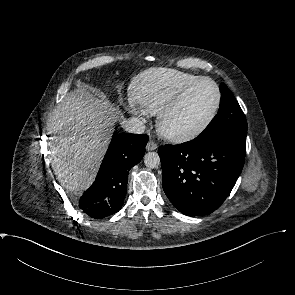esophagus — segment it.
<instances>
[{"mask_svg":"<svg viewBox=\"0 0 295 295\" xmlns=\"http://www.w3.org/2000/svg\"><path fill=\"white\" fill-rule=\"evenodd\" d=\"M156 148H157V143L154 140H149L146 145V149L148 151H152V150H155Z\"/></svg>","mask_w":295,"mask_h":295,"instance_id":"obj_1","label":"esophagus"}]
</instances>
